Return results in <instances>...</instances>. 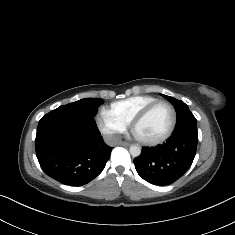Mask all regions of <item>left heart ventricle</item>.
I'll use <instances>...</instances> for the list:
<instances>
[{"instance_id":"b2bd125f","label":"left heart ventricle","mask_w":235,"mask_h":235,"mask_svg":"<svg viewBox=\"0 0 235 235\" xmlns=\"http://www.w3.org/2000/svg\"><path fill=\"white\" fill-rule=\"evenodd\" d=\"M172 119L171 110L166 105L158 106L135 128V135L141 140H153L165 135Z\"/></svg>"}]
</instances>
